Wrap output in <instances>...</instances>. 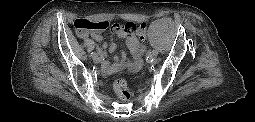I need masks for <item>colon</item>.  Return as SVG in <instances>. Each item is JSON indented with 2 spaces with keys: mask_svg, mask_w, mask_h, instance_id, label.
<instances>
[{
  "mask_svg": "<svg viewBox=\"0 0 255 122\" xmlns=\"http://www.w3.org/2000/svg\"><path fill=\"white\" fill-rule=\"evenodd\" d=\"M74 30L75 32L83 37L92 31H104L108 28L112 29H120L123 28L127 32H135L140 39L145 37V28L141 24H137L135 22H126L124 24H110L105 20H89L85 18H79L74 21ZM114 90L118 96V98L127 102L131 99L132 93L129 90L127 83L124 80H117L114 82Z\"/></svg>",
  "mask_w": 255,
  "mask_h": 122,
  "instance_id": "colon-1",
  "label": "colon"
}]
</instances>
